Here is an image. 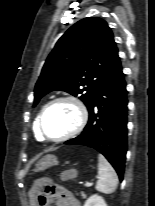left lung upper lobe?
<instances>
[{"mask_svg":"<svg viewBox=\"0 0 155 206\" xmlns=\"http://www.w3.org/2000/svg\"><path fill=\"white\" fill-rule=\"evenodd\" d=\"M119 63L107 23L98 17L84 18L65 32L48 56L35 86V104L45 94L62 90L79 96L88 108Z\"/></svg>","mask_w":155,"mask_h":206,"instance_id":"left-lung-upper-lobe-1","label":"left lung upper lobe"}]
</instances>
